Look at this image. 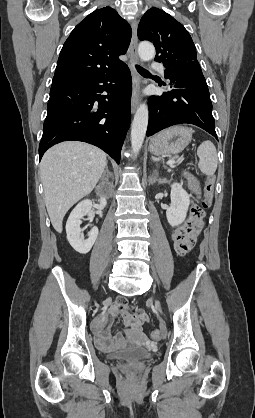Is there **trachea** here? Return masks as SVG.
<instances>
[{"mask_svg": "<svg viewBox=\"0 0 255 418\" xmlns=\"http://www.w3.org/2000/svg\"><path fill=\"white\" fill-rule=\"evenodd\" d=\"M136 69L141 75H150V72L148 70L142 68L139 65H136Z\"/></svg>", "mask_w": 255, "mask_h": 418, "instance_id": "obj_1", "label": "trachea"}]
</instances>
